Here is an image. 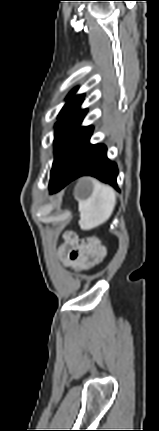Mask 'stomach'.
I'll list each match as a JSON object with an SVG mask.
<instances>
[{"label": "stomach", "mask_w": 159, "mask_h": 431, "mask_svg": "<svg viewBox=\"0 0 159 431\" xmlns=\"http://www.w3.org/2000/svg\"><path fill=\"white\" fill-rule=\"evenodd\" d=\"M95 182L89 178L80 179L75 187L74 195L78 201L87 200L91 197Z\"/></svg>", "instance_id": "1"}]
</instances>
